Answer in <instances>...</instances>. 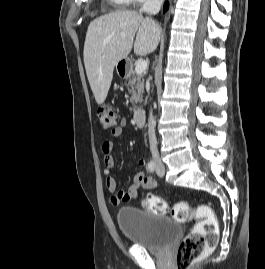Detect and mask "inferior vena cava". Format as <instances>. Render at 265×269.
<instances>
[{
  "label": "inferior vena cava",
  "instance_id": "inferior-vena-cava-1",
  "mask_svg": "<svg viewBox=\"0 0 265 269\" xmlns=\"http://www.w3.org/2000/svg\"><path fill=\"white\" fill-rule=\"evenodd\" d=\"M163 0H146L141 7L140 12H145L150 15L157 14L160 11ZM148 137L150 144V151L154 160L159 159V152L157 149V140L155 135V121L153 118L152 110L150 111L148 118Z\"/></svg>",
  "mask_w": 265,
  "mask_h": 269
}]
</instances>
